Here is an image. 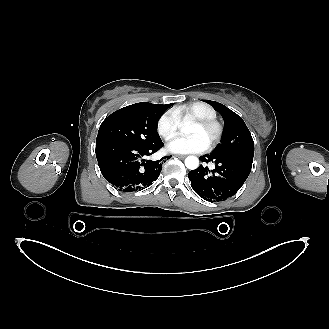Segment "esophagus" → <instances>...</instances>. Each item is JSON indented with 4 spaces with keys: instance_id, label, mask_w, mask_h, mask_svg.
Returning <instances> with one entry per match:
<instances>
[{
    "instance_id": "34e87169",
    "label": "esophagus",
    "mask_w": 329,
    "mask_h": 329,
    "mask_svg": "<svg viewBox=\"0 0 329 329\" xmlns=\"http://www.w3.org/2000/svg\"><path fill=\"white\" fill-rule=\"evenodd\" d=\"M178 158L184 159L186 156L185 155H175Z\"/></svg>"
}]
</instances>
